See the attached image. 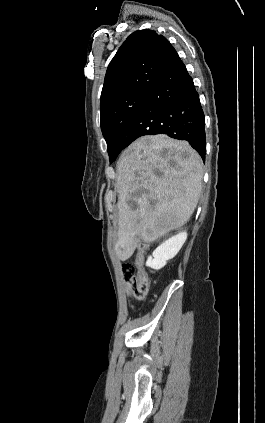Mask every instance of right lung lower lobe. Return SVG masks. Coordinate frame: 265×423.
<instances>
[{
  "instance_id": "obj_1",
  "label": "right lung lower lobe",
  "mask_w": 265,
  "mask_h": 423,
  "mask_svg": "<svg viewBox=\"0 0 265 423\" xmlns=\"http://www.w3.org/2000/svg\"><path fill=\"white\" fill-rule=\"evenodd\" d=\"M205 119L193 80L179 56L151 88L123 129L118 151L144 135L167 134L186 140L205 160Z\"/></svg>"
}]
</instances>
